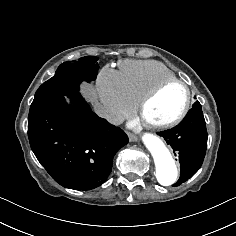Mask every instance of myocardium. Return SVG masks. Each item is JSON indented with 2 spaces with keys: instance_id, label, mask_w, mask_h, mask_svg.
Instances as JSON below:
<instances>
[{
  "instance_id": "obj_1",
  "label": "myocardium",
  "mask_w": 236,
  "mask_h": 236,
  "mask_svg": "<svg viewBox=\"0 0 236 236\" xmlns=\"http://www.w3.org/2000/svg\"><path fill=\"white\" fill-rule=\"evenodd\" d=\"M172 84H179L184 87L186 91V101L184 107L174 119L166 123L154 124L142 120L144 126L154 132H163L176 127L177 125L183 122V120L187 117L191 110L192 91L190 86L179 78H170L160 81L153 88H151L148 92L145 93V95L139 100L137 105L139 114L141 115L145 108L148 106V104L153 101L166 87Z\"/></svg>"
}]
</instances>
